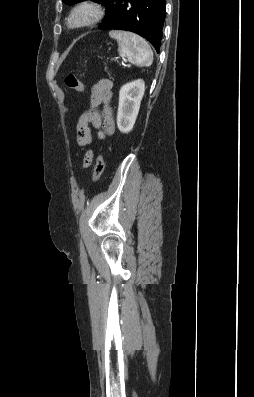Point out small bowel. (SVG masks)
Segmentation results:
<instances>
[{"label":"small bowel","instance_id":"c3829d8e","mask_svg":"<svg viewBox=\"0 0 254 397\" xmlns=\"http://www.w3.org/2000/svg\"><path fill=\"white\" fill-rule=\"evenodd\" d=\"M112 82L108 79L99 80L91 90L89 108L80 116L77 123V141L80 146L90 144L92 140L91 126L98 131L100 139L114 133L115 124L111 109ZM102 106V110L98 108ZM93 151L88 150L84 156L83 168L90 166Z\"/></svg>","mask_w":254,"mask_h":397}]
</instances>
